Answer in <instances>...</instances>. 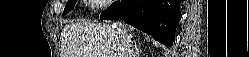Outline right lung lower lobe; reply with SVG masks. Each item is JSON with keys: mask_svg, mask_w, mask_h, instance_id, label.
<instances>
[{"mask_svg": "<svg viewBox=\"0 0 249 57\" xmlns=\"http://www.w3.org/2000/svg\"><path fill=\"white\" fill-rule=\"evenodd\" d=\"M181 0H121L101 13L100 19L123 17L128 23L148 34L167 47L175 39Z\"/></svg>", "mask_w": 249, "mask_h": 57, "instance_id": "1", "label": "right lung lower lobe"}]
</instances>
